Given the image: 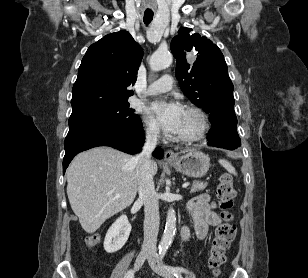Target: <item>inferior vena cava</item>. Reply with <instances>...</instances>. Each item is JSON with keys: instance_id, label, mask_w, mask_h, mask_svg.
<instances>
[{"instance_id": "obj_1", "label": "inferior vena cava", "mask_w": 308, "mask_h": 278, "mask_svg": "<svg viewBox=\"0 0 308 278\" xmlns=\"http://www.w3.org/2000/svg\"><path fill=\"white\" fill-rule=\"evenodd\" d=\"M157 138L158 131L154 128L148 129L142 152L135 157L139 200L143 202L145 212L142 252L154 255L160 217L158 197L151 172V154L156 147Z\"/></svg>"}]
</instances>
